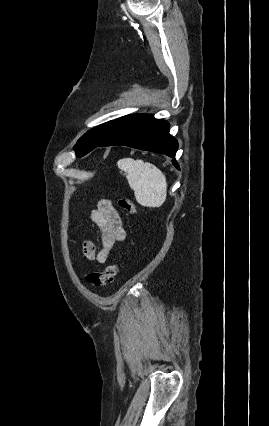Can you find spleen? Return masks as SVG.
<instances>
[{
  "mask_svg": "<svg viewBox=\"0 0 269 426\" xmlns=\"http://www.w3.org/2000/svg\"><path fill=\"white\" fill-rule=\"evenodd\" d=\"M120 172L134 191L136 201L145 207H160L167 197L166 177L155 165L141 159L124 158L117 162Z\"/></svg>",
  "mask_w": 269,
  "mask_h": 426,
  "instance_id": "spleen-1",
  "label": "spleen"
}]
</instances>
